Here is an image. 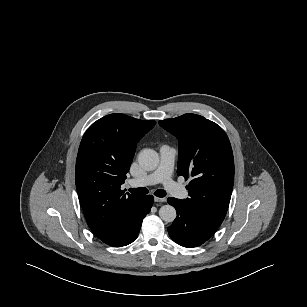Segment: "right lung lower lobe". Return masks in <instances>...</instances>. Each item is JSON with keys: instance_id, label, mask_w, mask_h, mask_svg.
Instances as JSON below:
<instances>
[{"instance_id": "right-lung-lower-lobe-1", "label": "right lung lower lobe", "mask_w": 307, "mask_h": 307, "mask_svg": "<svg viewBox=\"0 0 307 307\" xmlns=\"http://www.w3.org/2000/svg\"><path fill=\"white\" fill-rule=\"evenodd\" d=\"M143 201H144V206H143L139 216L137 217V220L135 222V225H134L132 231L130 232V234L127 236V238L125 240H123L121 243H119L115 247H121V246L128 245V244L132 243L137 238L139 231H140V228H141L143 218L149 213V211L152 207L154 198H153L152 195H146V196H143Z\"/></svg>"}]
</instances>
